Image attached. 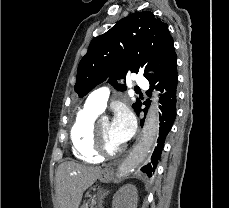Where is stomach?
I'll return each instance as SVG.
<instances>
[{
	"label": "stomach",
	"mask_w": 229,
	"mask_h": 208,
	"mask_svg": "<svg viewBox=\"0 0 229 208\" xmlns=\"http://www.w3.org/2000/svg\"><path fill=\"white\" fill-rule=\"evenodd\" d=\"M113 178V170L111 168H105L102 170L101 174H99L100 182H104V184H109Z\"/></svg>",
	"instance_id": "obj_1"
}]
</instances>
